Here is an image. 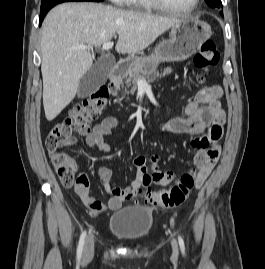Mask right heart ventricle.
I'll return each instance as SVG.
<instances>
[{
  "label": "right heart ventricle",
  "mask_w": 265,
  "mask_h": 269,
  "mask_svg": "<svg viewBox=\"0 0 265 269\" xmlns=\"http://www.w3.org/2000/svg\"><path fill=\"white\" fill-rule=\"evenodd\" d=\"M126 4L129 7L137 9H152L153 7L149 4L147 0H127Z\"/></svg>",
  "instance_id": "right-heart-ventricle-1"
}]
</instances>
